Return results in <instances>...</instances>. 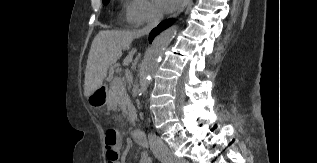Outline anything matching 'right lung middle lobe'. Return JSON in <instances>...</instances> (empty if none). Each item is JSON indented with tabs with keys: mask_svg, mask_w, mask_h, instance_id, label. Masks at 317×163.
Wrapping results in <instances>:
<instances>
[{
	"mask_svg": "<svg viewBox=\"0 0 317 163\" xmlns=\"http://www.w3.org/2000/svg\"><path fill=\"white\" fill-rule=\"evenodd\" d=\"M109 1H110V0H103V3H104L105 5H107V4L109 3Z\"/></svg>",
	"mask_w": 317,
	"mask_h": 163,
	"instance_id": "1",
	"label": "right lung middle lobe"
}]
</instances>
